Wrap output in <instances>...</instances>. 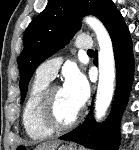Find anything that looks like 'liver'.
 Returning a JSON list of instances; mask_svg holds the SVG:
<instances>
[{
	"label": "liver",
	"mask_w": 139,
	"mask_h": 150,
	"mask_svg": "<svg viewBox=\"0 0 139 150\" xmlns=\"http://www.w3.org/2000/svg\"><path fill=\"white\" fill-rule=\"evenodd\" d=\"M58 145H59L58 141L42 143V144L38 145L35 148V150H56Z\"/></svg>",
	"instance_id": "1"
}]
</instances>
